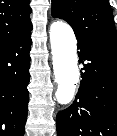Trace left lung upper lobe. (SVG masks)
Wrapping results in <instances>:
<instances>
[{
  "instance_id": "left-lung-upper-lobe-1",
  "label": "left lung upper lobe",
  "mask_w": 117,
  "mask_h": 136,
  "mask_svg": "<svg viewBox=\"0 0 117 136\" xmlns=\"http://www.w3.org/2000/svg\"><path fill=\"white\" fill-rule=\"evenodd\" d=\"M52 15L65 20L77 38L117 47L113 12L108 0H52Z\"/></svg>"
}]
</instances>
